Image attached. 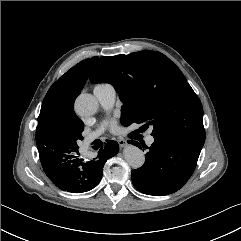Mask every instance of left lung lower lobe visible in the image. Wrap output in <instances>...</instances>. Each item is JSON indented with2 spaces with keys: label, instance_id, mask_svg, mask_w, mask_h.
Listing matches in <instances>:
<instances>
[{
  "label": "left lung lower lobe",
  "instance_id": "1",
  "mask_svg": "<svg viewBox=\"0 0 241 241\" xmlns=\"http://www.w3.org/2000/svg\"><path fill=\"white\" fill-rule=\"evenodd\" d=\"M145 164L132 170L135 188L145 194L163 196L176 192L193 174L202 147L169 136H153ZM139 147L137 141H128Z\"/></svg>",
  "mask_w": 241,
  "mask_h": 241
}]
</instances>
